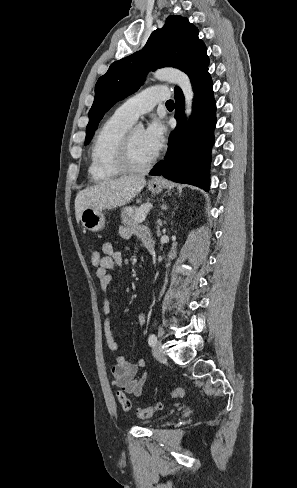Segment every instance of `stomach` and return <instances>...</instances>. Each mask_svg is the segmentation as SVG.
<instances>
[{"label": "stomach", "instance_id": "obj_1", "mask_svg": "<svg viewBox=\"0 0 297 488\" xmlns=\"http://www.w3.org/2000/svg\"><path fill=\"white\" fill-rule=\"evenodd\" d=\"M148 189L152 193H159L162 191V184H148ZM81 223L82 225L91 232H98L102 230L105 226V217L102 210L94 208H86L81 213Z\"/></svg>", "mask_w": 297, "mask_h": 488}]
</instances>
